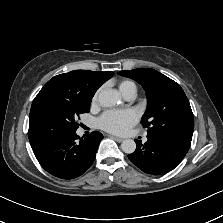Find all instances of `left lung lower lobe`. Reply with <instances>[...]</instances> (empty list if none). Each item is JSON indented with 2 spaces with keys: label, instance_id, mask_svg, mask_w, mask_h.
Returning a JSON list of instances; mask_svg holds the SVG:
<instances>
[{
  "label": "left lung lower lobe",
  "instance_id": "left-lung-lower-lobe-1",
  "mask_svg": "<svg viewBox=\"0 0 223 223\" xmlns=\"http://www.w3.org/2000/svg\"><path fill=\"white\" fill-rule=\"evenodd\" d=\"M147 138L144 145L135 140L136 150L128 158L139 169L153 175L165 174L177 167L191 144L160 134H147Z\"/></svg>",
  "mask_w": 223,
  "mask_h": 223
}]
</instances>
